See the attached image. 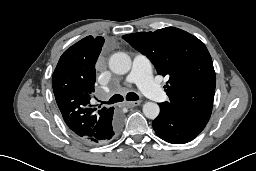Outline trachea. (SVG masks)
Segmentation results:
<instances>
[{
	"label": "trachea",
	"instance_id": "trachea-1",
	"mask_svg": "<svg viewBox=\"0 0 256 171\" xmlns=\"http://www.w3.org/2000/svg\"><path fill=\"white\" fill-rule=\"evenodd\" d=\"M139 99V96L134 93V92H129L127 95H126V100L127 101H136ZM123 101V96L120 95V94H115L113 95L110 100L108 102H103V103H106V104H114V103H117V102H121Z\"/></svg>",
	"mask_w": 256,
	"mask_h": 171
}]
</instances>
